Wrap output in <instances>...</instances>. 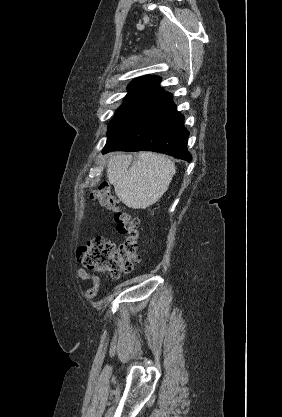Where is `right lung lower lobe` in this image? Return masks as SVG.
Here are the masks:
<instances>
[{
	"label": "right lung lower lobe",
	"instance_id": "obj_1",
	"mask_svg": "<svg viewBox=\"0 0 282 417\" xmlns=\"http://www.w3.org/2000/svg\"><path fill=\"white\" fill-rule=\"evenodd\" d=\"M184 117L177 112L169 92L147 108L116 135L107 140L102 153L114 150L155 151L191 162L187 151L189 132Z\"/></svg>",
	"mask_w": 282,
	"mask_h": 417
}]
</instances>
